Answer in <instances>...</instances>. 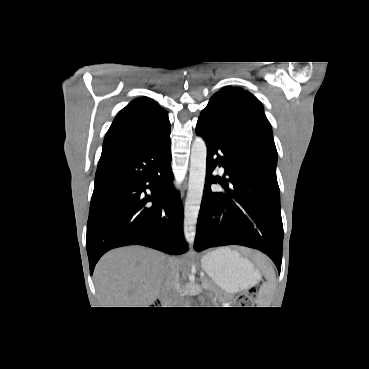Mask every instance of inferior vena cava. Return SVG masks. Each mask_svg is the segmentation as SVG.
<instances>
[{
	"mask_svg": "<svg viewBox=\"0 0 369 369\" xmlns=\"http://www.w3.org/2000/svg\"><path fill=\"white\" fill-rule=\"evenodd\" d=\"M179 286V270L176 264L169 262L167 265L164 284L162 286L161 295L163 301H166L168 307H177Z\"/></svg>",
	"mask_w": 369,
	"mask_h": 369,
	"instance_id": "inferior-vena-cava-1",
	"label": "inferior vena cava"
}]
</instances>
